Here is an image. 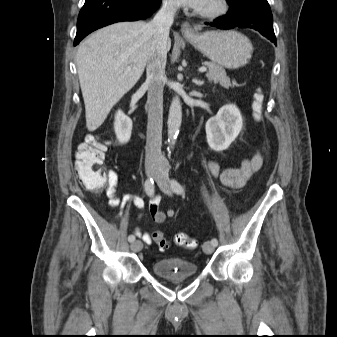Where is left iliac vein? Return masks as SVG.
I'll return each mask as SVG.
<instances>
[{"instance_id":"1","label":"left iliac vein","mask_w":337,"mask_h":337,"mask_svg":"<svg viewBox=\"0 0 337 337\" xmlns=\"http://www.w3.org/2000/svg\"><path fill=\"white\" fill-rule=\"evenodd\" d=\"M155 180L160 189L162 190V192H164L167 195H172L170 181L165 166L158 171V173L155 176ZM214 248L215 246L210 241H206L203 244V251L206 254H211L214 251Z\"/></svg>"}]
</instances>
